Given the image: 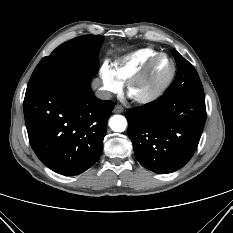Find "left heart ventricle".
I'll return each instance as SVG.
<instances>
[{
    "instance_id": "obj_1",
    "label": "left heart ventricle",
    "mask_w": 233,
    "mask_h": 233,
    "mask_svg": "<svg viewBox=\"0 0 233 233\" xmlns=\"http://www.w3.org/2000/svg\"><path fill=\"white\" fill-rule=\"evenodd\" d=\"M171 69L170 61L167 58H161L154 66L148 78L144 82L138 84L134 88L132 94L142 95L149 92L168 77Z\"/></svg>"
}]
</instances>
